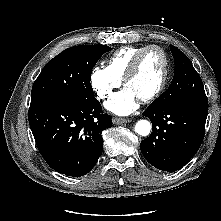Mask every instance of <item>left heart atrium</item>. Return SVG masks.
<instances>
[{
	"label": "left heart atrium",
	"mask_w": 221,
	"mask_h": 221,
	"mask_svg": "<svg viewBox=\"0 0 221 221\" xmlns=\"http://www.w3.org/2000/svg\"><path fill=\"white\" fill-rule=\"evenodd\" d=\"M138 106V98L133 92L125 87L118 93L114 94L110 100L105 103V107L118 115H128Z\"/></svg>",
	"instance_id": "1"
}]
</instances>
